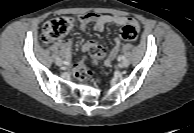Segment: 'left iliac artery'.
<instances>
[{
	"label": "left iliac artery",
	"instance_id": "1",
	"mask_svg": "<svg viewBox=\"0 0 194 133\" xmlns=\"http://www.w3.org/2000/svg\"><path fill=\"white\" fill-rule=\"evenodd\" d=\"M119 60H124L125 59V56L124 55H121L118 57Z\"/></svg>",
	"mask_w": 194,
	"mask_h": 133
}]
</instances>
